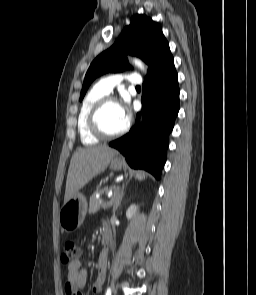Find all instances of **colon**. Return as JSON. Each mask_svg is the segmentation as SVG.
<instances>
[{"label":"colon","mask_w":256,"mask_h":295,"mask_svg":"<svg viewBox=\"0 0 256 295\" xmlns=\"http://www.w3.org/2000/svg\"><path fill=\"white\" fill-rule=\"evenodd\" d=\"M80 254V248L75 240L68 239L63 242V251L61 260L64 264H70L77 260Z\"/></svg>","instance_id":"obj_1"}]
</instances>
